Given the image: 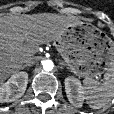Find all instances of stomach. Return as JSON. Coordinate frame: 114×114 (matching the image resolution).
<instances>
[{
  "mask_svg": "<svg viewBox=\"0 0 114 114\" xmlns=\"http://www.w3.org/2000/svg\"><path fill=\"white\" fill-rule=\"evenodd\" d=\"M56 48L68 68L88 80L114 67V42L94 25L81 22L67 28Z\"/></svg>",
  "mask_w": 114,
  "mask_h": 114,
  "instance_id": "stomach-1",
  "label": "stomach"
}]
</instances>
